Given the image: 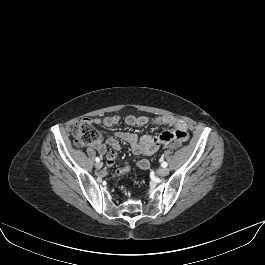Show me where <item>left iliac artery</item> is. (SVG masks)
Here are the masks:
<instances>
[{"label":"left iliac artery","instance_id":"1","mask_svg":"<svg viewBox=\"0 0 265 265\" xmlns=\"http://www.w3.org/2000/svg\"><path fill=\"white\" fill-rule=\"evenodd\" d=\"M160 161L162 162L161 166L162 167H167V162L163 161V157L160 158Z\"/></svg>","mask_w":265,"mask_h":265}]
</instances>
